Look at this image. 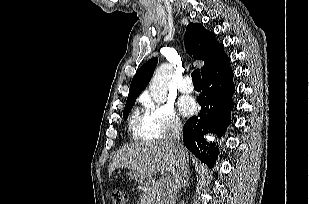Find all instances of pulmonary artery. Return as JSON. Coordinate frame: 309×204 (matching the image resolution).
Returning <instances> with one entry per match:
<instances>
[{"label": "pulmonary artery", "mask_w": 309, "mask_h": 204, "mask_svg": "<svg viewBox=\"0 0 309 204\" xmlns=\"http://www.w3.org/2000/svg\"><path fill=\"white\" fill-rule=\"evenodd\" d=\"M178 89L183 93H192L194 90L192 79L188 76L183 77L178 84Z\"/></svg>", "instance_id": "e3ab8cb5"}]
</instances>
